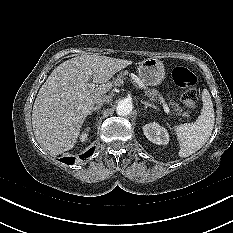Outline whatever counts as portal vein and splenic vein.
<instances>
[{
  "label": "portal vein and splenic vein",
  "instance_id": "1",
  "mask_svg": "<svg viewBox=\"0 0 233 233\" xmlns=\"http://www.w3.org/2000/svg\"><path fill=\"white\" fill-rule=\"evenodd\" d=\"M88 74L89 75H92V71L90 70V71H88ZM132 79H133V81L135 82V83H137L138 85H139V87H144V85L142 84V82L140 81V79L137 77V76H135V75H133L132 76ZM89 87L90 88H95V84L94 83H90L89 84ZM160 100H161V102L163 103V109H164V111L168 114V113H170V109H169V107L167 106V104H165V101H164V99L162 98V97H160Z\"/></svg>",
  "mask_w": 233,
  "mask_h": 233
}]
</instances>
